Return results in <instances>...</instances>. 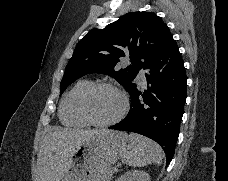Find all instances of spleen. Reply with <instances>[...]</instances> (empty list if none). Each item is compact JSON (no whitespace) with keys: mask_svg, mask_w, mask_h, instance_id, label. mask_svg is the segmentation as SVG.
Instances as JSON below:
<instances>
[{"mask_svg":"<svg viewBox=\"0 0 228 181\" xmlns=\"http://www.w3.org/2000/svg\"><path fill=\"white\" fill-rule=\"evenodd\" d=\"M122 163L129 167H146V165H161L163 151L160 145L141 137V135H129V145L123 149Z\"/></svg>","mask_w":228,"mask_h":181,"instance_id":"spleen-1","label":"spleen"}]
</instances>
